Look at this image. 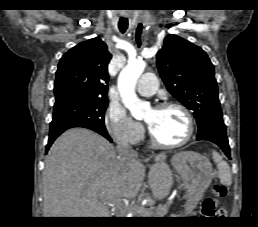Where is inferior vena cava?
I'll list each match as a JSON object with an SVG mask.
<instances>
[{
  "label": "inferior vena cava",
  "mask_w": 258,
  "mask_h": 227,
  "mask_svg": "<svg viewBox=\"0 0 258 227\" xmlns=\"http://www.w3.org/2000/svg\"><path fill=\"white\" fill-rule=\"evenodd\" d=\"M117 151L121 158L124 160H133L138 157L137 152L128 143L119 142L117 145Z\"/></svg>",
  "instance_id": "obj_1"
}]
</instances>
